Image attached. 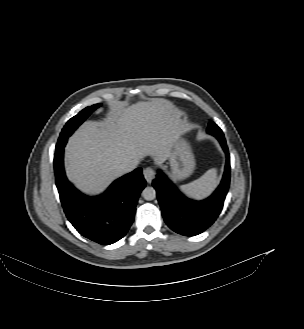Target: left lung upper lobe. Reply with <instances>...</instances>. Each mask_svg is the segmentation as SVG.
Returning a JSON list of instances; mask_svg holds the SVG:
<instances>
[{
    "instance_id": "obj_1",
    "label": "left lung upper lobe",
    "mask_w": 304,
    "mask_h": 329,
    "mask_svg": "<svg viewBox=\"0 0 304 329\" xmlns=\"http://www.w3.org/2000/svg\"><path fill=\"white\" fill-rule=\"evenodd\" d=\"M213 124H214V122H210L209 125H208V127L212 126Z\"/></svg>"
}]
</instances>
